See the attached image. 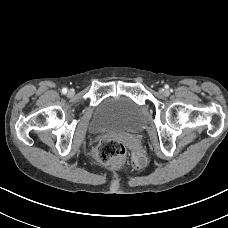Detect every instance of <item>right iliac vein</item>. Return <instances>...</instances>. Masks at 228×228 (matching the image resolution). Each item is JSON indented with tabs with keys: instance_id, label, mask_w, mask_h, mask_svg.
Segmentation results:
<instances>
[{
	"instance_id": "1",
	"label": "right iliac vein",
	"mask_w": 228,
	"mask_h": 228,
	"mask_svg": "<svg viewBox=\"0 0 228 228\" xmlns=\"http://www.w3.org/2000/svg\"><path fill=\"white\" fill-rule=\"evenodd\" d=\"M73 94H74V91H73V90H69V91H68V95H69V96H72Z\"/></svg>"
}]
</instances>
